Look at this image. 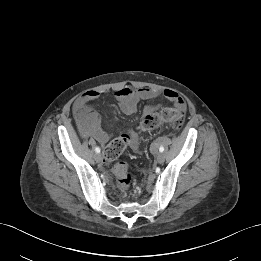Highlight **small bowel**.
I'll return each instance as SVG.
<instances>
[{
    "instance_id": "1",
    "label": "small bowel",
    "mask_w": 261,
    "mask_h": 261,
    "mask_svg": "<svg viewBox=\"0 0 261 261\" xmlns=\"http://www.w3.org/2000/svg\"><path fill=\"white\" fill-rule=\"evenodd\" d=\"M99 95L100 94L97 91H87L75 101L74 107L79 115L83 133L104 144L111 139L112 134L104 129L102 117L97 111L87 110L88 103L97 99ZM115 96L120 110L126 115L135 113L140 101L154 100L161 96L172 102L177 109L184 110L185 108V102L180 94L170 89L158 91L151 88H133L131 86H124L116 91ZM158 108L157 105H147L144 109V113L146 114L152 111H157ZM127 133L132 138L131 147L133 149H138L139 142L137 134L132 131H127Z\"/></svg>"
}]
</instances>
